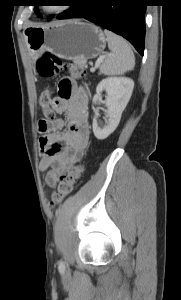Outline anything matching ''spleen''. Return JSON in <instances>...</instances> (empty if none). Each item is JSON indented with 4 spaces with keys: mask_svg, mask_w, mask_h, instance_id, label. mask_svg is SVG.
Listing matches in <instances>:
<instances>
[{
    "mask_svg": "<svg viewBox=\"0 0 181 300\" xmlns=\"http://www.w3.org/2000/svg\"><path fill=\"white\" fill-rule=\"evenodd\" d=\"M104 33L111 52L102 62L100 72L112 76L132 70L135 66V57L128 42L109 30H104Z\"/></svg>",
    "mask_w": 181,
    "mask_h": 300,
    "instance_id": "3e777b00",
    "label": "spleen"
}]
</instances>
